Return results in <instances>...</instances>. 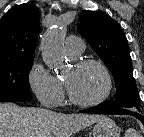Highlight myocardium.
Segmentation results:
<instances>
[{
  "mask_svg": "<svg viewBox=\"0 0 144 137\" xmlns=\"http://www.w3.org/2000/svg\"><path fill=\"white\" fill-rule=\"evenodd\" d=\"M74 66L76 68H82V67H86V66H94V67L98 68L105 77L106 85H105L104 92L97 99L91 100V101H80L73 96L67 83L64 82L69 101L72 104H74L76 106H80V107H94V106L100 105L101 103L106 101V99L111 94L112 87H113L112 76H111V73H110L109 69L107 68V66L104 63H102L101 61L95 60V59L78 60L75 62Z\"/></svg>",
  "mask_w": 144,
  "mask_h": 137,
  "instance_id": "myocardium-1",
  "label": "myocardium"
}]
</instances>
